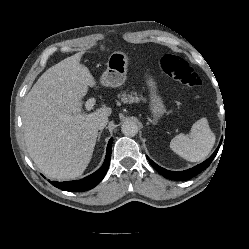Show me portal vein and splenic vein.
<instances>
[{
  "label": "portal vein and splenic vein",
  "instance_id": "portal-vein-and-splenic-vein-1",
  "mask_svg": "<svg viewBox=\"0 0 249 249\" xmlns=\"http://www.w3.org/2000/svg\"><path fill=\"white\" fill-rule=\"evenodd\" d=\"M94 104H95V99H94V98L88 99V100L86 101V103H85V108H86V110H91L92 107L94 106Z\"/></svg>",
  "mask_w": 249,
  "mask_h": 249
}]
</instances>
